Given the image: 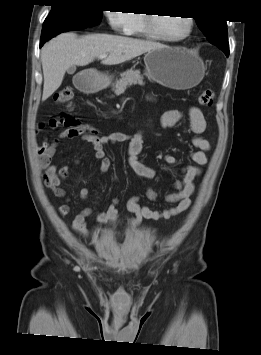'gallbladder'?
<instances>
[{
  "instance_id": "gallbladder-1",
  "label": "gallbladder",
  "mask_w": 261,
  "mask_h": 355,
  "mask_svg": "<svg viewBox=\"0 0 261 355\" xmlns=\"http://www.w3.org/2000/svg\"><path fill=\"white\" fill-rule=\"evenodd\" d=\"M75 71H76V66H72L67 70V72L70 74H73Z\"/></svg>"
}]
</instances>
